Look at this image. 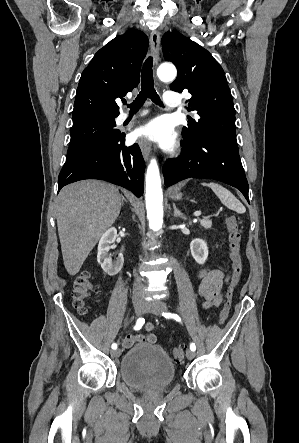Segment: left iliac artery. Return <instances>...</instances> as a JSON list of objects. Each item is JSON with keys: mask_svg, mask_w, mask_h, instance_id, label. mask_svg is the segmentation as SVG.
I'll use <instances>...</instances> for the list:
<instances>
[{"mask_svg": "<svg viewBox=\"0 0 299 443\" xmlns=\"http://www.w3.org/2000/svg\"><path fill=\"white\" fill-rule=\"evenodd\" d=\"M162 315H163L165 318H172V319H174V320H176V321H178V322H181V318H180V316L177 315V314L163 312ZM190 349H191L192 351H195V350H196V346H195L194 343H191V344H190Z\"/></svg>", "mask_w": 299, "mask_h": 443, "instance_id": "left-iliac-artery-1", "label": "left iliac artery"}]
</instances>
